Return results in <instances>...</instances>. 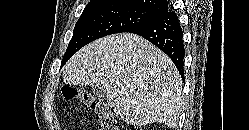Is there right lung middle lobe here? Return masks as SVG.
I'll return each mask as SVG.
<instances>
[{"label": "right lung middle lobe", "instance_id": "obj_1", "mask_svg": "<svg viewBox=\"0 0 249 130\" xmlns=\"http://www.w3.org/2000/svg\"><path fill=\"white\" fill-rule=\"evenodd\" d=\"M160 15L136 6L116 3L87 5L77 21L61 67L86 44L151 21Z\"/></svg>", "mask_w": 249, "mask_h": 130}]
</instances>
